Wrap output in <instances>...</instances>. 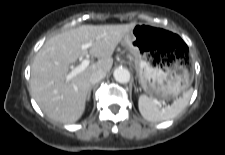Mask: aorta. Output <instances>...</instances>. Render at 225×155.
Masks as SVG:
<instances>
[{"label": "aorta", "mask_w": 225, "mask_h": 155, "mask_svg": "<svg viewBox=\"0 0 225 155\" xmlns=\"http://www.w3.org/2000/svg\"><path fill=\"white\" fill-rule=\"evenodd\" d=\"M113 76L115 80L119 83H128L130 80V72L123 67L116 68L114 70Z\"/></svg>", "instance_id": "obj_1"}]
</instances>
